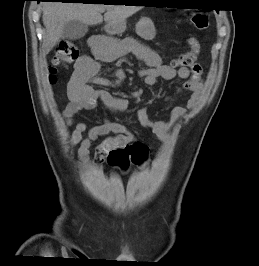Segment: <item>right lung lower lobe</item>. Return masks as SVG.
<instances>
[{"mask_svg":"<svg viewBox=\"0 0 259 266\" xmlns=\"http://www.w3.org/2000/svg\"><path fill=\"white\" fill-rule=\"evenodd\" d=\"M37 1L40 2L42 0H37ZM54 1H62V2H64V1H68V0H54Z\"/></svg>","mask_w":259,"mask_h":266,"instance_id":"obj_1","label":"right lung lower lobe"}]
</instances>
